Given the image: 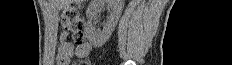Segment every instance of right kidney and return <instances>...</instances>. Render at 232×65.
Listing matches in <instances>:
<instances>
[{
    "mask_svg": "<svg viewBox=\"0 0 232 65\" xmlns=\"http://www.w3.org/2000/svg\"><path fill=\"white\" fill-rule=\"evenodd\" d=\"M104 5L108 6L110 16L108 17V20L104 25L103 30L96 31L94 23H92V20L96 18L97 14L103 9ZM123 7V0H93L91 2L86 11L88 21L84 31L87 39L94 46L101 47L110 38L121 16Z\"/></svg>",
    "mask_w": 232,
    "mask_h": 65,
    "instance_id": "right-kidney-1",
    "label": "right kidney"
}]
</instances>
